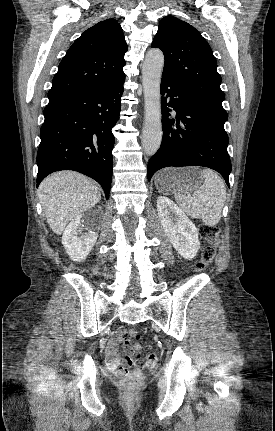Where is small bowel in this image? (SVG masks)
<instances>
[{
	"label": "small bowel",
	"instance_id": "obj_1",
	"mask_svg": "<svg viewBox=\"0 0 275 431\" xmlns=\"http://www.w3.org/2000/svg\"><path fill=\"white\" fill-rule=\"evenodd\" d=\"M127 332L124 329H119L115 336L109 341L107 346V359L108 365L111 369H117L121 363L118 358L117 348L122 340H126ZM132 347L126 341V356L123 360L124 363H131V355L133 354Z\"/></svg>",
	"mask_w": 275,
	"mask_h": 431
}]
</instances>
